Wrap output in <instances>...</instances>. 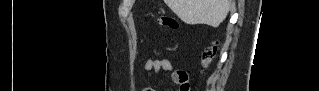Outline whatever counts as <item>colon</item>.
Listing matches in <instances>:
<instances>
[{
  "instance_id": "1",
  "label": "colon",
  "mask_w": 319,
  "mask_h": 91,
  "mask_svg": "<svg viewBox=\"0 0 319 91\" xmlns=\"http://www.w3.org/2000/svg\"><path fill=\"white\" fill-rule=\"evenodd\" d=\"M158 22L163 25L164 27L170 28V29H177L179 26V23L176 19L169 17L167 15H161L158 17ZM216 52L215 46H210L203 52L202 55V62L204 65H208L209 62L213 59ZM178 84L180 85L179 90L180 91H189L190 90V84L188 80V76L184 73L179 74V80Z\"/></svg>"
}]
</instances>
